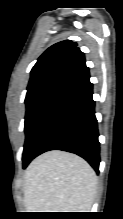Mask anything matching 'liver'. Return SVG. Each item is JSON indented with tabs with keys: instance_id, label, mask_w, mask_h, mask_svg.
<instances>
[{
	"instance_id": "liver-1",
	"label": "liver",
	"mask_w": 123,
	"mask_h": 219,
	"mask_svg": "<svg viewBox=\"0 0 123 219\" xmlns=\"http://www.w3.org/2000/svg\"><path fill=\"white\" fill-rule=\"evenodd\" d=\"M97 176L81 157L53 150L41 154L24 175L27 212H90Z\"/></svg>"
}]
</instances>
